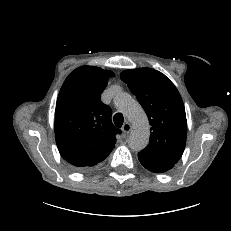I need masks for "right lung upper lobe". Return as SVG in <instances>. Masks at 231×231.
Returning <instances> with one entry per match:
<instances>
[{
	"label": "right lung upper lobe",
	"instance_id": "right-lung-upper-lobe-1",
	"mask_svg": "<svg viewBox=\"0 0 231 231\" xmlns=\"http://www.w3.org/2000/svg\"><path fill=\"white\" fill-rule=\"evenodd\" d=\"M94 66H83L63 83L55 110V139L61 156L84 168L103 161L114 148L121 131L111 121V110L100 101L109 77Z\"/></svg>",
	"mask_w": 231,
	"mask_h": 231
}]
</instances>
